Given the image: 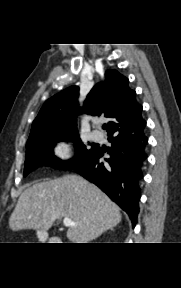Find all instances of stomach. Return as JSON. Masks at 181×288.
<instances>
[{"mask_svg": "<svg viewBox=\"0 0 181 288\" xmlns=\"http://www.w3.org/2000/svg\"><path fill=\"white\" fill-rule=\"evenodd\" d=\"M43 235H45V234H42V233H38V236H39L40 238H42V237H43Z\"/></svg>", "mask_w": 181, "mask_h": 288, "instance_id": "0dacf381", "label": "stomach"}]
</instances>
